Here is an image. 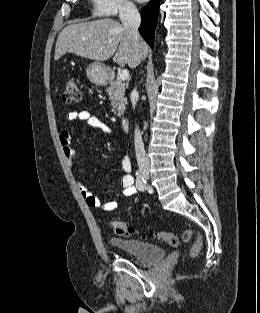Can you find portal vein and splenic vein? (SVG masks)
<instances>
[{
	"mask_svg": "<svg viewBox=\"0 0 260 313\" xmlns=\"http://www.w3.org/2000/svg\"><path fill=\"white\" fill-rule=\"evenodd\" d=\"M129 78V71L127 69H123L120 73V80L125 81Z\"/></svg>",
	"mask_w": 260,
	"mask_h": 313,
	"instance_id": "portal-vein-and-splenic-vein-1",
	"label": "portal vein and splenic vein"
}]
</instances>
